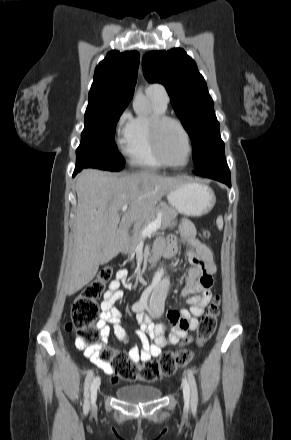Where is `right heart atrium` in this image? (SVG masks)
I'll return each instance as SVG.
<instances>
[{"instance_id":"right-heart-atrium-1","label":"right heart atrium","mask_w":291,"mask_h":440,"mask_svg":"<svg viewBox=\"0 0 291 440\" xmlns=\"http://www.w3.org/2000/svg\"><path fill=\"white\" fill-rule=\"evenodd\" d=\"M131 123L132 116L130 112L124 111L120 115L115 127L116 141L120 148H124L126 145L127 139L131 132Z\"/></svg>"}]
</instances>
